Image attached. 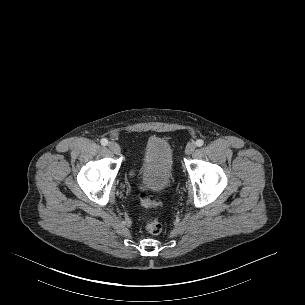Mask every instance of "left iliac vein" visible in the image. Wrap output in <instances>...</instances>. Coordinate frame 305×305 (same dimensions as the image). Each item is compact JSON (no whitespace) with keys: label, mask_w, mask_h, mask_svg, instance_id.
<instances>
[{"label":"left iliac vein","mask_w":305,"mask_h":305,"mask_svg":"<svg viewBox=\"0 0 305 305\" xmlns=\"http://www.w3.org/2000/svg\"><path fill=\"white\" fill-rule=\"evenodd\" d=\"M195 148L196 144L194 142H189L186 146L185 153L189 155L194 152Z\"/></svg>","instance_id":"1"}]
</instances>
